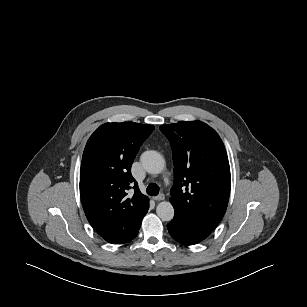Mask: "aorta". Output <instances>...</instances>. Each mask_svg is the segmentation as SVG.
Masks as SVG:
<instances>
[{
  "label": "aorta",
  "instance_id": "aorta-1",
  "mask_svg": "<svg viewBox=\"0 0 307 307\" xmlns=\"http://www.w3.org/2000/svg\"><path fill=\"white\" fill-rule=\"evenodd\" d=\"M143 168L150 174H159L165 168L164 158L156 151L148 150L140 157ZM156 213L162 221H171L174 217V208L168 201L157 205Z\"/></svg>",
  "mask_w": 307,
  "mask_h": 307
}]
</instances>
